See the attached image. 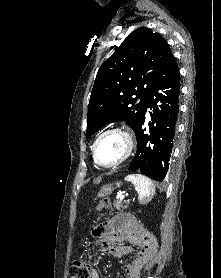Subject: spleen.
I'll return each mask as SVG.
<instances>
[{
	"label": "spleen",
	"instance_id": "1",
	"mask_svg": "<svg viewBox=\"0 0 221 278\" xmlns=\"http://www.w3.org/2000/svg\"><path fill=\"white\" fill-rule=\"evenodd\" d=\"M138 189V199L140 203H146L155 193L153 182L142 174H130L125 178Z\"/></svg>",
	"mask_w": 221,
	"mask_h": 278
}]
</instances>
